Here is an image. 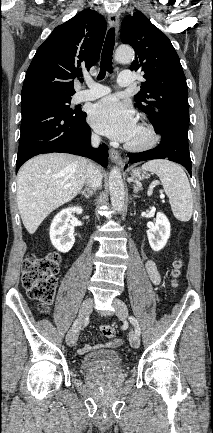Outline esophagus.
Instances as JSON below:
<instances>
[{"mask_svg": "<svg viewBox=\"0 0 213 433\" xmlns=\"http://www.w3.org/2000/svg\"><path fill=\"white\" fill-rule=\"evenodd\" d=\"M108 22L109 25L113 28H117L119 25V15L115 12H111L108 14ZM109 156L112 162H115L119 165H122V158L120 153L115 149H109Z\"/></svg>", "mask_w": 213, "mask_h": 433, "instance_id": "1", "label": "esophagus"}]
</instances>
